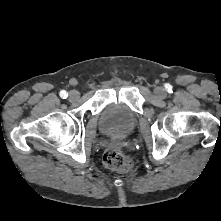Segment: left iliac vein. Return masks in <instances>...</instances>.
Here are the masks:
<instances>
[{"label": "left iliac vein", "instance_id": "left-iliac-vein-1", "mask_svg": "<svg viewBox=\"0 0 221 221\" xmlns=\"http://www.w3.org/2000/svg\"><path fill=\"white\" fill-rule=\"evenodd\" d=\"M154 93L160 98L165 96V90L162 87H156Z\"/></svg>", "mask_w": 221, "mask_h": 221}]
</instances>
